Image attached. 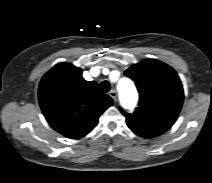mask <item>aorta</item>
Returning <instances> with one entry per match:
<instances>
[{"mask_svg": "<svg viewBox=\"0 0 212 183\" xmlns=\"http://www.w3.org/2000/svg\"><path fill=\"white\" fill-rule=\"evenodd\" d=\"M118 90L122 103L127 107H133L137 101V92L133 82L128 78H121L118 82Z\"/></svg>", "mask_w": 212, "mask_h": 183, "instance_id": "aorta-1", "label": "aorta"}]
</instances>
